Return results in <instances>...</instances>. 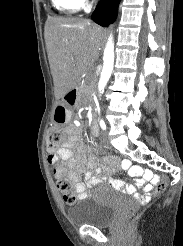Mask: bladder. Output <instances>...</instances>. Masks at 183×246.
I'll use <instances>...</instances> for the list:
<instances>
[{
  "instance_id": "1",
  "label": "bladder",
  "mask_w": 183,
  "mask_h": 246,
  "mask_svg": "<svg viewBox=\"0 0 183 246\" xmlns=\"http://www.w3.org/2000/svg\"><path fill=\"white\" fill-rule=\"evenodd\" d=\"M117 204L113 190L98 184L85 199L68 210V218L77 226H107L115 216Z\"/></svg>"
}]
</instances>
